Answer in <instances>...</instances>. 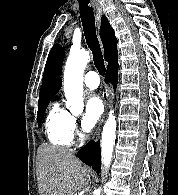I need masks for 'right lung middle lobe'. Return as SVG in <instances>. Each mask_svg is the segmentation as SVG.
<instances>
[{
	"label": "right lung middle lobe",
	"mask_w": 178,
	"mask_h": 195,
	"mask_svg": "<svg viewBox=\"0 0 178 195\" xmlns=\"http://www.w3.org/2000/svg\"><path fill=\"white\" fill-rule=\"evenodd\" d=\"M48 104H49V102L38 105V113H37L38 125H40V122L43 119V116H44V113L46 111Z\"/></svg>",
	"instance_id": "1"
}]
</instances>
